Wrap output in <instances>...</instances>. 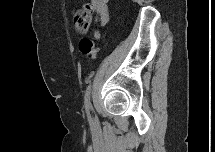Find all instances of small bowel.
I'll return each instance as SVG.
<instances>
[{
  "mask_svg": "<svg viewBox=\"0 0 215 152\" xmlns=\"http://www.w3.org/2000/svg\"><path fill=\"white\" fill-rule=\"evenodd\" d=\"M92 5L97 15L96 22H98L102 26L105 25L109 19L107 1L93 0ZM96 37H98V34H96Z\"/></svg>",
  "mask_w": 215,
  "mask_h": 152,
  "instance_id": "small-bowel-1",
  "label": "small bowel"
}]
</instances>
